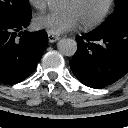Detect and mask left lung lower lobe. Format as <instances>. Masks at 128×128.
<instances>
[{
    "label": "left lung lower lobe",
    "mask_w": 128,
    "mask_h": 128,
    "mask_svg": "<svg viewBox=\"0 0 128 128\" xmlns=\"http://www.w3.org/2000/svg\"><path fill=\"white\" fill-rule=\"evenodd\" d=\"M70 67L86 86L100 89L128 72V22L87 33L77 39Z\"/></svg>",
    "instance_id": "0a47b994"
}]
</instances>
